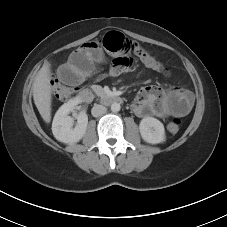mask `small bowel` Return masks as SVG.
<instances>
[{"mask_svg":"<svg viewBox=\"0 0 227 227\" xmlns=\"http://www.w3.org/2000/svg\"><path fill=\"white\" fill-rule=\"evenodd\" d=\"M102 45L97 41L83 43L79 50L71 54L67 62L57 70V78L64 86L81 87L97 73L98 65L104 60ZM135 66L133 57L114 58L110 73L119 76ZM193 106L191 93L182 87H172L168 91L156 85L143 87L133 103V110L138 117L184 116Z\"/></svg>","mask_w":227,"mask_h":227,"instance_id":"small-bowel-1","label":"small bowel"}]
</instances>
